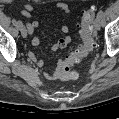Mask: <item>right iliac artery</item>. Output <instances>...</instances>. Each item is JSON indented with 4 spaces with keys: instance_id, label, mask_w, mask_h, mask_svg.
Instances as JSON below:
<instances>
[{
    "instance_id": "82829eb1",
    "label": "right iliac artery",
    "mask_w": 119,
    "mask_h": 119,
    "mask_svg": "<svg viewBox=\"0 0 119 119\" xmlns=\"http://www.w3.org/2000/svg\"><path fill=\"white\" fill-rule=\"evenodd\" d=\"M17 26H18L19 28H21V27L23 26V23H22L21 20H18V22H17Z\"/></svg>"
}]
</instances>
